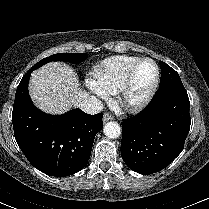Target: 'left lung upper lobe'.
Instances as JSON below:
<instances>
[{
  "mask_svg": "<svg viewBox=\"0 0 209 209\" xmlns=\"http://www.w3.org/2000/svg\"><path fill=\"white\" fill-rule=\"evenodd\" d=\"M160 67L162 72L160 78V87L173 83H182L179 74L169 65L160 61Z\"/></svg>",
  "mask_w": 209,
  "mask_h": 209,
  "instance_id": "5c2ea615",
  "label": "left lung upper lobe"
}]
</instances>
